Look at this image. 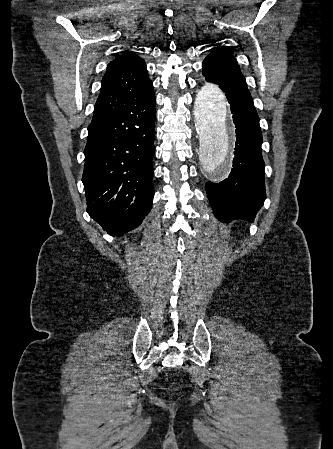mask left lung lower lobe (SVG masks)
I'll return each instance as SVG.
<instances>
[{"instance_id": "left-lung-lower-lobe-1", "label": "left lung lower lobe", "mask_w": 333, "mask_h": 449, "mask_svg": "<svg viewBox=\"0 0 333 449\" xmlns=\"http://www.w3.org/2000/svg\"><path fill=\"white\" fill-rule=\"evenodd\" d=\"M204 76L226 93L236 127L233 169L224 181L206 183L208 198L220 221L228 223L239 218L253 221L266 198L258 114L246 86L211 74Z\"/></svg>"}]
</instances>
